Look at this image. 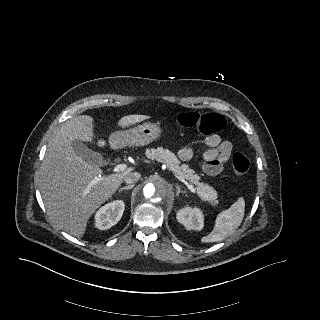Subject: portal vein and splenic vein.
Returning a JSON list of instances; mask_svg holds the SVG:
<instances>
[{"instance_id": "obj_1", "label": "portal vein and splenic vein", "mask_w": 320, "mask_h": 320, "mask_svg": "<svg viewBox=\"0 0 320 320\" xmlns=\"http://www.w3.org/2000/svg\"><path fill=\"white\" fill-rule=\"evenodd\" d=\"M126 169H127L126 164H118L114 167V172H120V171H124ZM176 178H178L181 182H183L191 192L196 193V189L193 188V186L190 185L188 182H186L183 177L176 176Z\"/></svg>"}]
</instances>
